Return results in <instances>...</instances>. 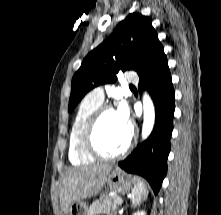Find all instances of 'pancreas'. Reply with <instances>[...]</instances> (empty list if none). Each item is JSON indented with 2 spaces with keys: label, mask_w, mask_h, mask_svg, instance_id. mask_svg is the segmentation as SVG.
Here are the masks:
<instances>
[{
  "label": "pancreas",
  "mask_w": 221,
  "mask_h": 215,
  "mask_svg": "<svg viewBox=\"0 0 221 215\" xmlns=\"http://www.w3.org/2000/svg\"><path fill=\"white\" fill-rule=\"evenodd\" d=\"M119 198L120 197L118 196H110L94 201L89 207L88 215H112L114 212H116L118 206L120 205L117 202V199Z\"/></svg>",
  "instance_id": "cf45deb5"
}]
</instances>
